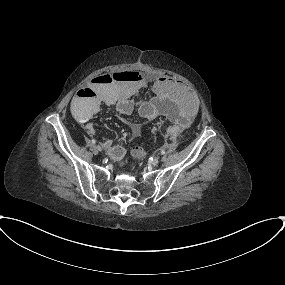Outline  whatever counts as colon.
<instances>
[{
    "label": "colon",
    "mask_w": 285,
    "mask_h": 285,
    "mask_svg": "<svg viewBox=\"0 0 285 285\" xmlns=\"http://www.w3.org/2000/svg\"><path fill=\"white\" fill-rule=\"evenodd\" d=\"M117 77L120 79L131 81V82H135L139 79L138 78L139 75L136 72L121 73V74H118ZM106 81L109 82L108 79H106ZM94 97L95 96H93V94H90V97H88V99L93 100ZM132 156L136 159H141L144 156V151H143L142 147H140V146L134 147L132 150Z\"/></svg>",
    "instance_id": "5ec220e1"
}]
</instances>
